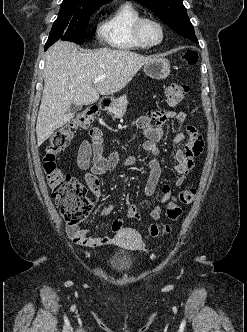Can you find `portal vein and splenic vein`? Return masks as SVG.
I'll use <instances>...</instances> for the list:
<instances>
[{
	"instance_id": "obj_1",
	"label": "portal vein and splenic vein",
	"mask_w": 247,
	"mask_h": 332,
	"mask_svg": "<svg viewBox=\"0 0 247 332\" xmlns=\"http://www.w3.org/2000/svg\"><path fill=\"white\" fill-rule=\"evenodd\" d=\"M100 80H101V78H95V79L93 80V83L96 84V83H98Z\"/></svg>"
}]
</instances>
